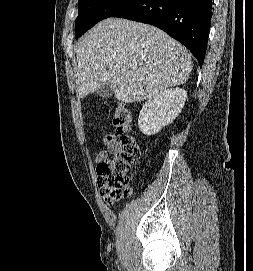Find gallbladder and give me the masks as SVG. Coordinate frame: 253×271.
<instances>
[{"instance_id":"gallbladder-1","label":"gallbladder","mask_w":253,"mask_h":271,"mask_svg":"<svg viewBox=\"0 0 253 271\" xmlns=\"http://www.w3.org/2000/svg\"><path fill=\"white\" fill-rule=\"evenodd\" d=\"M96 93L102 99H109L113 96V90L103 83H101L100 87L96 90Z\"/></svg>"}]
</instances>
